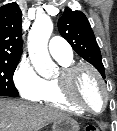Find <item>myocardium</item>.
<instances>
[{
    "instance_id": "obj_1",
    "label": "myocardium",
    "mask_w": 117,
    "mask_h": 131,
    "mask_svg": "<svg viewBox=\"0 0 117 131\" xmlns=\"http://www.w3.org/2000/svg\"><path fill=\"white\" fill-rule=\"evenodd\" d=\"M83 70L89 71L96 78L102 90L103 106L99 111H95L92 108H90L87 104L81 101L76 95L75 81L78 74ZM57 82L64 98L67 101H69L71 104L83 110L84 112H87L90 114H100L106 109L108 105V101H109L108 91L106 89V85L102 76L93 66L87 63H72L62 68L60 75L57 78Z\"/></svg>"
}]
</instances>
